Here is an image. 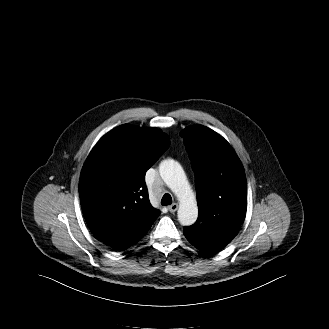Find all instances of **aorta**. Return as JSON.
I'll list each match as a JSON object with an SVG mask.
<instances>
[{
    "label": "aorta",
    "mask_w": 329,
    "mask_h": 329,
    "mask_svg": "<svg viewBox=\"0 0 329 329\" xmlns=\"http://www.w3.org/2000/svg\"><path fill=\"white\" fill-rule=\"evenodd\" d=\"M159 173L179 200L178 220L183 226L194 224L198 217L196 198L181 165L167 159L160 163Z\"/></svg>",
    "instance_id": "762f6f07"
}]
</instances>
